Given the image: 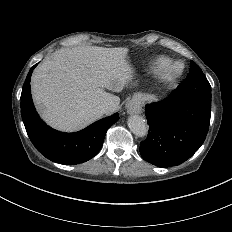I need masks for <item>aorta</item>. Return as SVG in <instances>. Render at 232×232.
<instances>
[{
    "instance_id": "762f6f07",
    "label": "aorta",
    "mask_w": 232,
    "mask_h": 232,
    "mask_svg": "<svg viewBox=\"0 0 232 232\" xmlns=\"http://www.w3.org/2000/svg\"><path fill=\"white\" fill-rule=\"evenodd\" d=\"M128 127L137 137H144L149 129L145 119L139 115L129 117Z\"/></svg>"
}]
</instances>
